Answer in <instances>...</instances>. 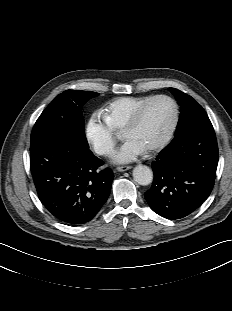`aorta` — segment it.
<instances>
[{
    "mask_svg": "<svg viewBox=\"0 0 232 311\" xmlns=\"http://www.w3.org/2000/svg\"><path fill=\"white\" fill-rule=\"evenodd\" d=\"M133 178L139 185H149L153 181L152 170L145 165H138L133 169Z\"/></svg>",
    "mask_w": 232,
    "mask_h": 311,
    "instance_id": "1",
    "label": "aorta"
}]
</instances>
